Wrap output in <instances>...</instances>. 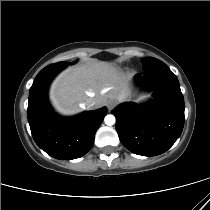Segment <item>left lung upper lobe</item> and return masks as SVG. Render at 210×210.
Masks as SVG:
<instances>
[{"label":"left lung upper lobe","instance_id":"5c2ea615","mask_svg":"<svg viewBox=\"0 0 210 210\" xmlns=\"http://www.w3.org/2000/svg\"><path fill=\"white\" fill-rule=\"evenodd\" d=\"M143 63V69L146 70L148 68H151L159 63H161L162 61L154 58V57H147L141 60Z\"/></svg>","mask_w":210,"mask_h":210}]
</instances>
